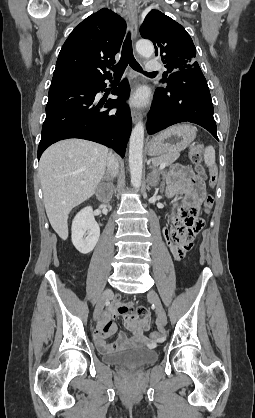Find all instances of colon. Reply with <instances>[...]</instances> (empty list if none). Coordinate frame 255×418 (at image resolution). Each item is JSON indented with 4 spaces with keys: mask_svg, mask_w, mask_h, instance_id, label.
Here are the masks:
<instances>
[{
    "mask_svg": "<svg viewBox=\"0 0 255 418\" xmlns=\"http://www.w3.org/2000/svg\"><path fill=\"white\" fill-rule=\"evenodd\" d=\"M190 158L192 162L196 165L197 172L201 176H206V172L202 164V155H201L200 147H196L191 151ZM215 182H216V173L212 172L209 176V185L212 187L214 186ZM213 203H214L213 196L210 194L207 195L203 203L205 211L207 212L210 211L211 208L213 207ZM203 226H204V220L200 216L199 208L193 207L188 210L186 217L182 219L181 221L177 222L173 228H197L198 233H199L201 229L203 228ZM190 250L191 249H189V251ZM191 254L193 255L194 253L192 252ZM161 339H162V335L159 332H153L150 335L151 344H156L160 342Z\"/></svg>",
    "mask_w": 255,
    "mask_h": 418,
    "instance_id": "obj_1",
    "label": "colon"
}]
</instances>
